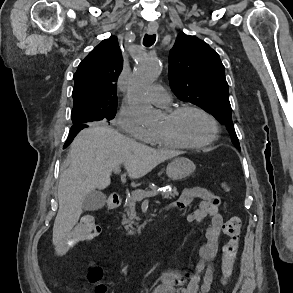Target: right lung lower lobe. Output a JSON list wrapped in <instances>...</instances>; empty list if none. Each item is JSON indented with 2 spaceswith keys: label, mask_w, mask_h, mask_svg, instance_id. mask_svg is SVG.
Wrapping results in <instances>:
<instances>
[{
  "label": "right lung lower lobe",
  "mask_w": 293,
  "mask_h": 293,
  "mask_svg": "<svg viewBox=\"0 0 293 293\" xmlns=\"http://www.w3.org/2000/svg\"><path fill=\"white\" fill-rule=\"evenodd\" d=\"M85 127H88V124H74V125H72L70 132H69L68 139L66 140L63 147L64 148L68 147L70 145V143L73 141L74 137L79 133V131Z\"/></svg>",
  "instance_id": "obj_1"
}]
</instances>
